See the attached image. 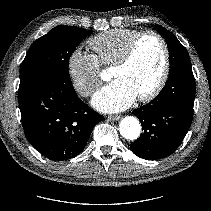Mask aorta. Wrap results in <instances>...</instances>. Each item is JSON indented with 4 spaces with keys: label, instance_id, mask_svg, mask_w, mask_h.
<instances>
[{
    "label": "aorta",
    "instance_id": "obj_1",
    "mask_svg": "<svg viewBox=\"0 0 211 211\" xmlns=\"http://www.w3.org/2000/svg\"><path fill=\"white\" fill-rule=\"evenodd\" d=\"M120 134L129 140H135L139 137L141 132V125L139 121L133 116L124 117L119 125Z\"/></svg>",
    "mask_w": 211,
    "mask_h": 211
}]
</instances>
